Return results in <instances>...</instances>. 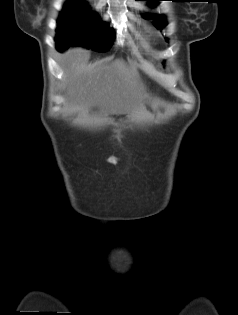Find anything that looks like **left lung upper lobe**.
I'll return each mask as SVG.
<instances>
[{
  "label": "left lung upper lobe",
  "mask_w": 238,
  "mask_h": 315,
  "mask_svg": "<svg viewBox=\"0 0 238 315\" xmlns=\"http://www.w3.org/2000/svg\"><path fill=\"white\" fill-rule=\"evenodd\" d=\"M140 1H148L149 2V5L151 7H155L157 5V2L158 1H162V0H140ZM145 18L147 19H153L155 18L154 20V25L157 29H162L164 28L167 23H166V19L163 15H160V16H157V15H147L145 16Z\"/></svg>",
  "instance_id": "1"
}]
</instances>
